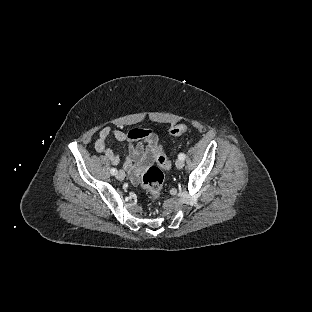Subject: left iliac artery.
<instances>
[{"label":"left iliac artery","instance_id":"obj_1","mask_svg":"<svg viewBox=\"0 0 312 312\" xmlns=\"http://www.w3.org/2000/svg\"><path fill=\"white\" fill-rule=\"evenodd\" d=\"M178 158L184 160V159L186 158V156H185L184 153H180V154L178 155Z\"/></svg>","mask_w":312,"mask_h":312}]
</instances>
